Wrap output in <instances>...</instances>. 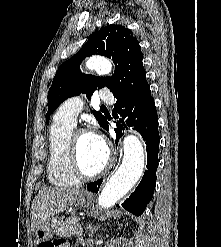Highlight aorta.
I'll return each mask as SVG.
<instances>
[{
    "label": "aorta",
    "mask_w": 221,
    "mask_h": 247,
    "mask_svg": "<svg viewBox=\"0 0 221 247\" xmlns=\"http://www.w3.org/2000/svg\"><path fill=\"white\" fill-rule=\"evenodd\" d=\"M87 66L99 75H107L112 70L111 62L101 56L90 58ZM123 143L122 163L107 181L98 199L102 208L114 206L134 187L143 172L145 157L141 140L134 134H128Z\"/></svg>",
    "instance_id": "obj_1"
}]
</instances>
